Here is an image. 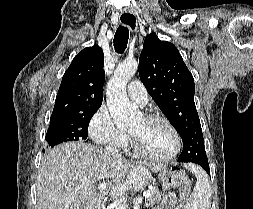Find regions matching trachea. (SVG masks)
I'll list each match as a JSON object with an SVG mask.
<instances>
[{"instance_id":"1","label":"trachea","mask_w":253,"mask_h":209,"mask_svg":"<svg viewBox=\"0 0 253 209\" xmlns=\"http://www.w3.org/2000/svg\"><path fill=\"white\" fill-rule=\"evenodd\" d=\"M129 30L125 26H119L114 36V48L117 53H123L127 47Z\"/></svg>"}]
</instances>
